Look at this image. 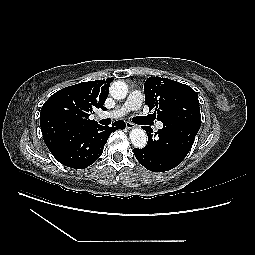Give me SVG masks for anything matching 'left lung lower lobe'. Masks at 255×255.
<instances>
[{
    "mask_svg": "<svg viewBox=\"0 0 255 255\" xmlns=\"http://www.w3.org/2000/svg\"><path fill=\"white\" fill-rule=\"evenodd\" d=\"M148 135L147 146L134 148L140 164L152 172L175 168L187 156L200 129L198 124H165L152 134L149 126H142Z\"/></svg>",
    "mask_w": 255,
    "mask_h": 255,
    "instance_id": "obj_1",
    "label": "left lung lower lobe"
}]
</instances>
